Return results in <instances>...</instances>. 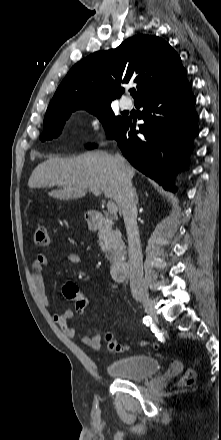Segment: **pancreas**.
Wrapping results in <instances>:
<instances>
[{"label": "pancreas", "instance_id": "obj_1", "mask_svg": "<svg viewBox=\"0 0 221 440\" xmlns=\"http://www.w3.org/2000/svg\"><path fill=\"white\" fill-rule=\"evenodd\" d=\"M113 234L116 238V242L114 243L112 249L117 254V260H121L122 257L126 254L124 243L121 239V233L119 231H113ZM100 246H105V241L107 240V236L103 233H99Z\"/></svg>", "mask_w": 221, "mask_h": 440}]
</instances>
